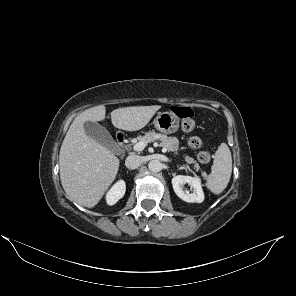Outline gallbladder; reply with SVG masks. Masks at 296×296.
<instances>
[{
  "label": "gallbladder",
  "mask_w": 296,
  "mask_h": 296,
  "mask_svg": "<svg viewBox=\"0 0 296 296\" xmlns=\"http://www.w3.org/2000/svg\"><path fill=\"white\" fill-rule=\"evenodd\" d=\"M84 130L86 134L95 141L99 142L114 153L118 152V145L116 141L113 139L109 131L102 125L96 122L86 121L84 123Z\"/></svg>",
  "instance_id": "1"
}]
</instances>
